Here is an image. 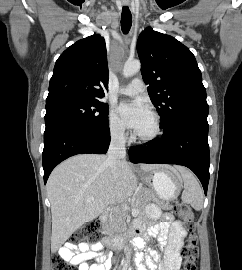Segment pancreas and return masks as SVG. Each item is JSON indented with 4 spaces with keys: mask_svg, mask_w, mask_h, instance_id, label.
Masks as SVG:
<instances>
[{
    "mask_svg": "<svg viewBox=\"0 0 242 270\" xmlns=\"http://www.w3.org/2000/svg\"><path fill=\"white\" fill-rule=\"evenodd\" d=\"M157 201L153 192L147 189L141 190L134 196L133 207L139 211L143 210L150 201ZM161 207L165 210L172 209L167 203H161ZM127 213L124 209H118L114 218L108 223V232L110 234L122 233L126 230Z\"/></svg>",
    "mask_w": 242,
    "mask_h": 270,
    "instance_id": "cf45deb5",
    "label": "pancreas"
}]
</instances>
